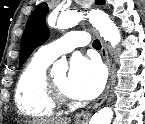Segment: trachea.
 Here are the masks:
<instances>
[{"label":"trachea","instance_id":"trachea-1","mask_svg":"<svg viewBox=\"0 0 145 124\" xmlns=\"http://www.w3.org/2000/svg\"><path fill=\"white\" fill-rule=\"evenodd\" d=\"M92 46L95 49H100L101 48V43H100V41L98 39H96V40L93 41Z\"/></svg>","mask_w":145,"mask_h":124}]
</instances>
